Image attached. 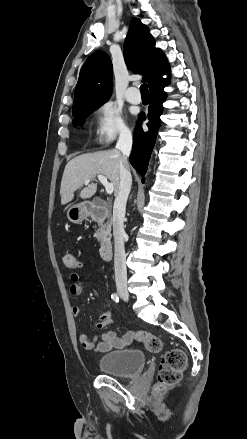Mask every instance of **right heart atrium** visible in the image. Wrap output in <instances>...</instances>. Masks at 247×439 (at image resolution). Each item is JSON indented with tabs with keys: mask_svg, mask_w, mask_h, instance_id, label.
I'll use <instances>...</instances> for the list:
<instances>
[{
	"mask_svg": "<svg viewBox=\"0 0 247 439\" xmlns=\"http://www.w3.org/2000/svg\"><path fill=\"white\" fill-rule=\"evenodd\" d=\"M96 141L101 146H108L118 138L130 136V130L120 112L112 102H104L95 112Z\"/></svg>",
	"mask_w": 247,
	"mask_h": 439,
	"instance_id": "1",
	"label": "right heart atrium"
}]
</instances>
